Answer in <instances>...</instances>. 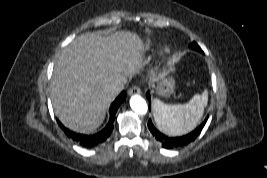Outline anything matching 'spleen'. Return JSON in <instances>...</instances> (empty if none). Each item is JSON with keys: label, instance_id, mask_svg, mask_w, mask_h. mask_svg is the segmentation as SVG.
<instances>
[{"label": "spleen", "instance_id": "obj_1", "mask_svg": "<svg viewBox=\"0 0 267 178\" xmlns=\"http://www.w3.org/2000/svg\"><path fill=\"white\" fill-rule=\"evenodd\" d=\"M208 102V91L196 94L184 105L165 104L153 101V116L157 127L165 134L179 136L192 131L204 114Z\"/></svg>", "mask_w": 267, "mask_h": 178}]
</instances>
